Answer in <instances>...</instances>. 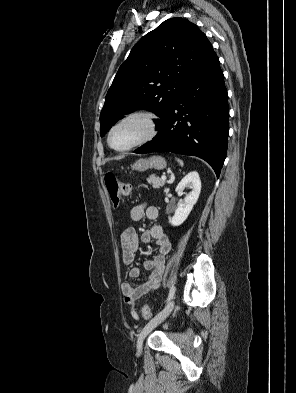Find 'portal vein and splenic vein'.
Here are the masks:
<instances>
[{
    "label": "portal vein and splenic vein",
    "instance_id": "portal-vein-and-splenic-vein-1",
    "mask_svg": "<svg viewBox=\"0 0 296 393\" xmlns=\"http://www.w3.org/2000/svg\"><path fill=\"white\" fill-rule=\"evenodd\" d=\"M161 179L166 180V176L162 175Z\"/></svg>",
    "mask_w": 296,
    "mask_h": 393
}]
</instances>
